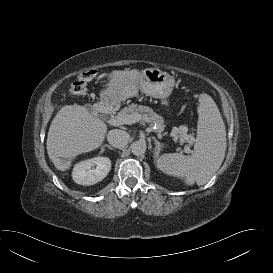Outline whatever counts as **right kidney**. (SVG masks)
<instances>
[{
    "instance_id": "1",
    "label": "right kidney",
    "mask_w": 273,
    "mask_h": 273,
    "mask_svg": "<svg viewBox=\"0 0 273 273\" xmlns=\"http://www.w3.org/2000/svg\"><path fill=\"white\" fill-rule=\"evenodd\" d=\"M111 170L108 157H95L77 163L72 172L74 182L80 185H93L103 180Z\"/></svg>"
}]
</instances>
